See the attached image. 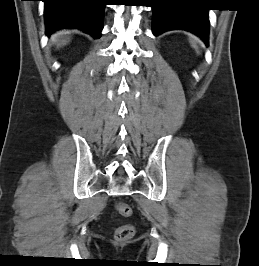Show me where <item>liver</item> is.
Instances as JSON below:
<instances>
[{
  "mask_svg": "<svg viewBox=\"0 0 259 266\" xmlns=\"http://www.w3.org/2000/svg\"><path fill=\"white\" fill-rule=\"evenodd\" d=\"M65 35L66 32L59 31L51 37L52 42L57 46V48H60L69 42V39L66 38Z\"/></svg>",
  "mask_w": 259,
  "mask_h": 266,
  "instance_id": "liver-1",
  "label": "liver"
}]
</instances>
